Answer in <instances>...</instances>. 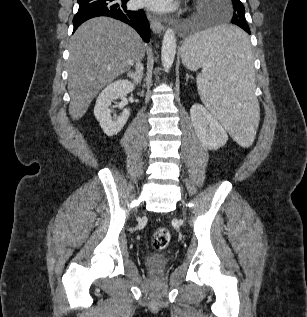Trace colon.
I'll return each mask as SVG.
<instances>
[{
    "label": "colon",
    "instance_id": "obj_1",
    "mask_svg": "<svg viewBox=\"0 0 307 317\" xmlns=\"http://www.w3.org/2000/svg\"><path fill=\"white\" fill-rule=\"evenodd\" d=\"M171 240L170 231L167 228H158L152 235V246L156 250L165 249Z\"/></svg>",
    "mask_w": 307,
    "mask_h": 317
}]
</instances>
